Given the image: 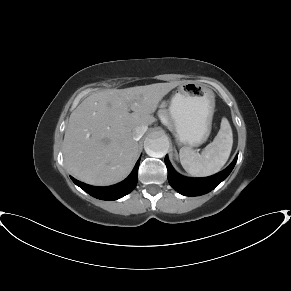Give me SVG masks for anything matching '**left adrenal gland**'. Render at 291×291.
<instances>
[{
    "mask_svg": "<svg viewBox=\"0 0 291 291\" xmlns=\"http://www.w3.org/2000/svg\"><path fill=\"white\" fill-rule=\"evenodd\" d=\"M175 157H176V159H178V154H177L176 150H175Z\"/></svg>",
    "mask_w": 291,
    "mask_h": 291,
    "instance_id": "obj_1",
    "label": "left adrenal gland"
}]
</instances>
